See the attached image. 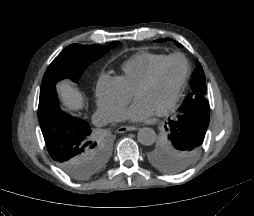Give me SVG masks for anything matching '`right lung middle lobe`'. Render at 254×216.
<instances>
[{"mask_svg":"<svg viewBox=\"0 0 254 216\" xmlns=\"http://www.w3.org/2000/svg\"><path fill=\"white\" fill-rule=\"evenodd\" d=\"M118 42H112L110 46L102 45H79L72 44L66 47L49 65L41 84V89L55 84L65 78L78 82L84 70L97 59L101 58L111 48L117 46ZM98 144L95 159L98 162V168L101 170L109 157V144L107 141L94 133ZM74 169L79 171V164H75ZM65 172V171H64ZM78 179L83 180L81 175Z\"/></svg>","mask_w":254,"mask_h":216,"instance_id":"dd1d6c3e","label":"right lung middle lobe"}]
</instances>
